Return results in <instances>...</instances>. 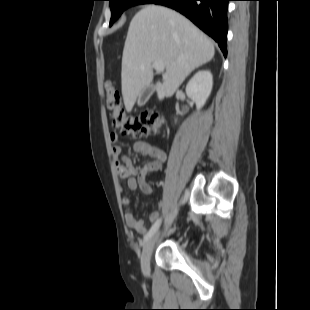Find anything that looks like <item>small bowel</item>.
<instances>
[{
	"label": "small bowel",
	"instance_id": "c3829d8e",
	"mask_svg": "<svg viewBox=\"0 0 310 310\" xmlns=\"http://www.w3.org/2000/svg\"><path fill=\"white\" fill-rule=\"evenodd\" d=\"M122 139V137L112 132L110 133V142L112 146V155L115 160V168L117 176L120 180H126L127 187L131 191H135L138 188L145 193L151 194L153 192L152 187L147 183L146 178L148 174L159 171L166 161V153L158 146L144 142L136 141L133 145L135 152L151 158V161L145 163L142 167L137 168L130 158L122 155V150L116 143ZM122 202L125 206L130 204L128 197H123ZM159 219V212L155 211L149 215L151 222H156ZM125 221L129 228L134 230L138 234H145L147 231L146 223L142 219L135 217L130 209L125 212Z\"/></svg>",
	"mask_w": 310,
	"mask_h": 310
}]
</instances>
